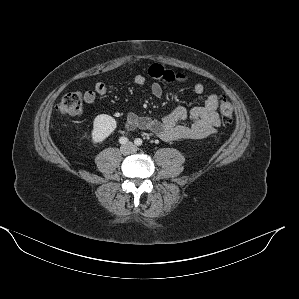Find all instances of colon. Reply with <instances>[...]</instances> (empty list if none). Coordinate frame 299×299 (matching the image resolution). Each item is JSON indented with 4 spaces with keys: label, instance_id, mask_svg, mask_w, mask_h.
<instances>
[{
    "label": "colon",
    "instance_id": "obj_1",
    "mask_svg": "<svg viewBox=\"0 0 299 299\" xmlns=\"http://www.w3.org/2000/svg\"><path fill=\"white\" fill-rule=\"evenodd\" d=\"M83 110V97L80 92H69L63 96L57 106V111L62 116L78 117ZM219 110L222 116L230 123L232 121L233 105L229 99L223 98L220 101Z\"/></svg>",
    "mask_w": 299,
    "mask_h": 299
}]
</instances>
